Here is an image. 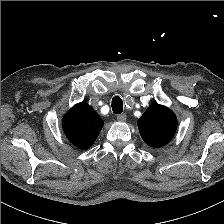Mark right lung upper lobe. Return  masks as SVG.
I'll list each match as a JSON object with an SVG mask.
<instances>
[{
  "label": "right lung upper lobe",
  "mask_w": 224,
  "mask_h": 224,
  "mask_svg": "<svg viewBox=\"0 0 224 224\" xmlns=\"http://www.w3.org/2000/svg\"><path fill=\"white\" fill-rule=\"evenodd\" d=\"M103 125L101 117L86 102L73 106L62 120V127L68 140L82 150L93 145Z\"/></svg>",
  "instance_id": "cb5924a9"
}]
</instances>
